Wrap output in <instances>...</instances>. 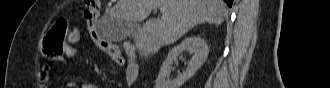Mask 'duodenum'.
Returning <instances> with one entry per match:
<instances>
[{
    "label": "duodenum",
    "instance_id": "obj_1",
    "mask_svg": "<svg viewBox=\"0 0 330 88\" xmlns=\"http://www.w3.org/2000/svg\"><path fill=\"white\" fill-rule=\"evenodd\" d=\"M125 49L131 57L136 56L137 51L134 43L126 44ZM132 77L134 78V80H136L138 77V67L135 63H131L127 71L128 80Z\"/></svg>",
    "mask_w": 330,
    "mask_h": 88
}]
</instances>
